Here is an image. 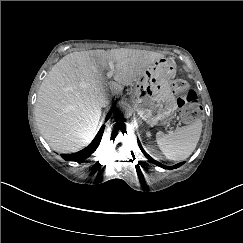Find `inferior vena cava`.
<instances>
[{"label": "inferior vena cava", "instance_id": "602c4592", "mask_svg": "<svg viewBox=\"0 0 243 243\" xmlns=\"http://www.w3.org/2000/svg\"><path fill=\"white\" fill-rule=\"evenodd\" d=\"M96 100L101 107H105L109 103L108 95L105 92L98 93Z\"/></svg>", "mask_w": 243, "mask_h": 243}]
</instances>
